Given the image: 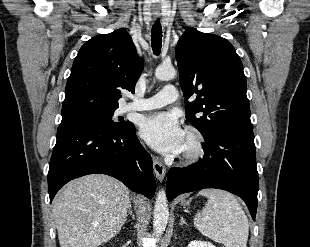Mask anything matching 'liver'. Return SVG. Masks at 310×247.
I'll list each match as a JSON object with an SVG mask.
<instances>
[{
  "label": "liver",
  "mask_w": 310,
  "mask_h": 247,
  "mask_svg": "<svg viewBox=\"0 0 310 247\" xmlns=\"http://www.w3.org/2000/svg\"><path fill=\"white\" fill-rule=\"evenodd\" d=\"M130 205L120 181L91 174L69 182L55 197L53 217L60 247H98L115 237Z\"/></svg>",
  "instance_id": "1"
}]
</instances>
